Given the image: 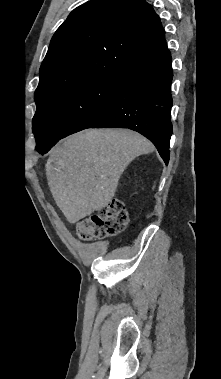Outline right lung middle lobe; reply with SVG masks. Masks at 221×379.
Masks as SVG:
<instances>
[{
	"mask_svg": "<svg viewBox=\"0 0 221 379\" xmlns=\"http://www.w3.org/2000/svg\"><path fill=\"white\" fill-rule=\"evenodd\" d=\"M120 74H101L36 98L33 118L36 149H45L57 138L90 128L109 107Z\"/></svg>",
	"mask_w": 221,
	"mask_h": 379,
	"instance_id": "dd1d6c3e",
	"label": "right lung middle lobe"
}]
</instances>
